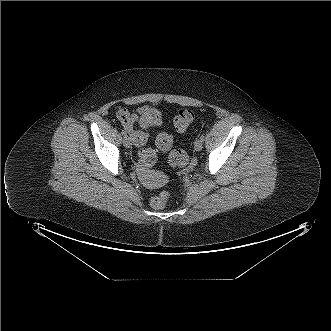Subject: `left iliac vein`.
<instances>
[{"label": "left iliac vein", "instance_id": "1", "mask_svg": "<svg viewBox=\"0 0 331 331\" xmlns=\"http://www.w3.org/2000/svg\"><path fill=\"white\" fill-rule=\"evenodd\" d=\"M194 148L196 151H201L202 148H203V142L201 139H197L195 142H194Z\"/></svg>", "mask_w": 331, "mask_h": 331}]
</instances>
